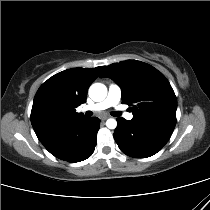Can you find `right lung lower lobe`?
Returning <instances> with one entry per match:
<instances>
[{
	"instance_id": "1",
	"label": "right lung lower lobe",
	"mask_w": 210,
	"mask_h": 210,
	"mask_svg": "<svg viewBox=\"0 0 210 210\" xmlns=\"http://www.w3.org/2000/svg\"><path fill=\"white\" fill-rule=\"evenodd\" d=\"M100 119L77 118L40 140L55 157L68 162H80L92 155L96 146Z\"/></svg>"
}]
</instances>
